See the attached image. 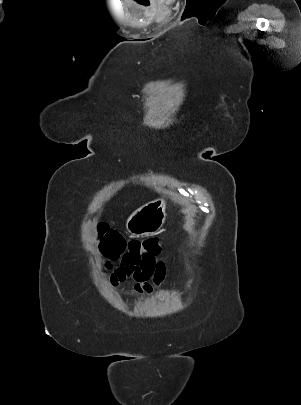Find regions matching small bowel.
I'll list each match as a JSON object with an SVG mask.
<instances>
[{"label": "small bowel", "instance_id": "c3829d8e", "mask_svg": "<svg viewBox=\"0 0 301 405\" xmlns=\"http://www.w3.org/2000/svg\"><path fill=\"white\" fill-rule=\"evenodd\" d=\"M157 255L140 257L126 256L120 259V264L109 274V280L113 286H118L129 277L136 283L132 292L137 296L150 295L162 283L166 267Z\"/></svg>", "mask_w": 301, "mask_h": 405}]
</instances>
